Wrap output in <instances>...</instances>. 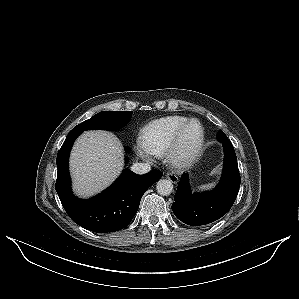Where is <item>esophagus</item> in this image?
<instances>
[{"label":"esophagus","mask_w":299,"mask_h":299,"mask_svg":"<svg viewBox=\"0 0 299 299\" xmlns=\"http://www.w3.org/2000/svg\"><path fill=\"white\" fill-rule=\"evenodd\" d=\"M166 178L169 179L172 183L176 184L178 183L179 179H178V176L174 173H166Z\"/></svg>","instance_id":"1"}]
</instances>
